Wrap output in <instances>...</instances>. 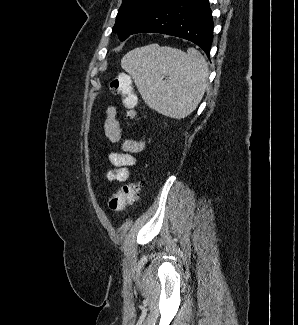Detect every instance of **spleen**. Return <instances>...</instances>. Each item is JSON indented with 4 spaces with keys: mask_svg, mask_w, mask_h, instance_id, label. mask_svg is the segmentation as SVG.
Instances as JSON below:
<instances>
[{
    "mask_svg": "<svg viewBox=\"0 0 298 325\" xmlns=\"http://www.w3.org/2000/svg\"><path fill=\"white\" fill-rule=\"evenodd\" d=\"M121 66L146 104L170 118H185L195 110L209 74L206 58L196 48L183 52L156 42L129 50Z\"/></svg>",
    "mask_w": 298,
    "mask_h": 325,
    "instance_id": "3e777b00",
    "label": "spleen"
}]
</instances>
